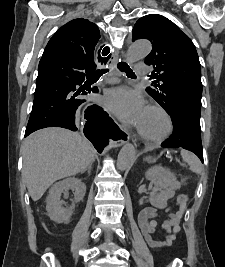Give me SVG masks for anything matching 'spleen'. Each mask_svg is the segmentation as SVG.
<instances>
[{
	"label": "spleen",
	"instance_id": "1",
	"mask_svg": "<svg viewBox=\"0 0 225 267\" xmlns=\"http://www.w3.org/2000/svg\"><path fill=\"white\" fill-rule=\"evenodd\" d=\"M181 156L184 162L189 165V169L194 173H200L202 171V165L199 159L187 150H181Z\"/></svg>",
	"mask_w": 225,
	"mask_h": 267
}]
</instances>
